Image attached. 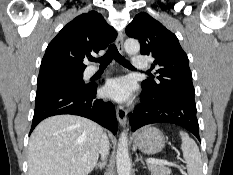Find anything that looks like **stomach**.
Masks as SVG:
<instances>
[{"instance_id": "stomach-1", "label": "stomach", "mask_w": 233, "mask_h": 175, "mask_svg": "<svg viewBox=\"0 0 233 175\" xmlns=\"http://www.w3.org/2000/svg\"><path fill=\"white\" fill-rule=\"evenodd\" d=\"M134 144L142 152L153 155L161 152L165 146L163 133L155 127H146L134 135Z\"/></svg>"}]
</instances>
